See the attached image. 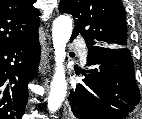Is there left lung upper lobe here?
<instances>
[{
  "mask_svg": "<svg viewBox=\"0 0 142 119\" xmlns=\"http://www.w3.org/2000/svg\"><path fill=\"white\" fill-rule=\"evenodd\" d=\"M60 13L74 18L72 35L87 47L127 48L126 16L121 0H61Z\"/></svg>",
  "mask_w": 142,
  "mask_h": 119,
  "instance_id": "obj_1",
  "label": "left lung upper lobe"
}]
</instances>
